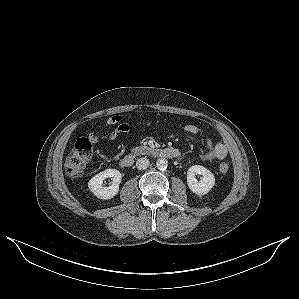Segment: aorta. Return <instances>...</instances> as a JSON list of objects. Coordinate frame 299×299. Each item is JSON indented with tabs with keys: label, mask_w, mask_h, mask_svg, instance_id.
I'll return each instance as SVG.
<instances>
[{
	"label": "aorta",
	"mask_w": 299,
	"mask_h": 299,
	"mask_svg": "<svg viewBox=\"0 0 299 299\" xmlns=\"http://www.w3.org/2000/svg\"><path fill=\"white\" fill-rule=\"evenodd\" d=\"M156 166L160 170H165L168 166V162L165 158H160L156 161Z\"/></svg>",
	"instance_id": "762f6f07"
}]
</instances>
